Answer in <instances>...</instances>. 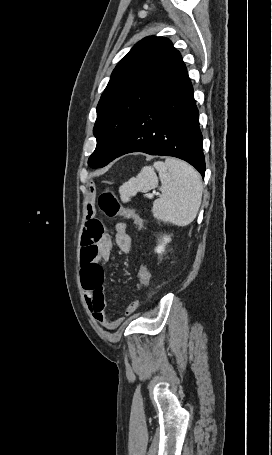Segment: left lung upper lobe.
<instances>
[{
    "label": "left lung upper lobe",
    "instance_id": "left-lung-upper-lobe-1",
    "mask_svg": "<svg viewBox=\"0 0 272 455\" xmlns=\"http://www.w3.org/2000/svg\"><path fill=\"white\" fill-rule=\"evenodd\" d=\"M185 68L179 51L164 37L142 39L121 59L97 106V146L90 167L99 168L133 118Z\"/></svg>",
    "mask_w": 272,
    "mask_h": 455
}]
</instances>
